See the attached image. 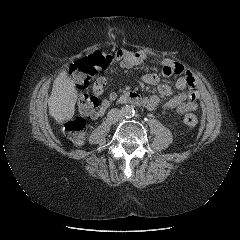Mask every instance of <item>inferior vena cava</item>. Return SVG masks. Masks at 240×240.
<instances>
[{
	"label": "inferior vena cava",
	"mask_w": 240,
	"mask_h": 240,
	"mask_svg": "<svg viewBox=\"0 0 240 240\" xmlns=\"http://www.w3.org/2000/svg\"><path fill=\"white\" fill-rule=\"evenodd\" d=\"M108 118L112 122H117L123 118V115L121 113V110L114 108L108 112Z\"/></svg>",
	"instance_id": "inferior-vena-cava-1"
}]
</instances>
